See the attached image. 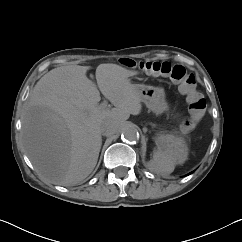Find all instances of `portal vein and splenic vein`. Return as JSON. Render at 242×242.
I'll return each instance as SVG.
<instances>
[{
  "label": "portal vein and splenic vein",
  "mask_w": 242,
  "mask_h": 242,
  "mask_svg": "<svg viewBox=\"0 0 242 242\" xmlns=\"http://www.w3.org/2000/svg\"><path fill=\"white\" fill-rule=\"evenodd\" d=\"M107 105H108L107 101H104L103 103L100 104L99 107H100L101 109H104V108L107 107Z\"/></svg>",
  "instance_id": "obj_1"
}]
</instances>
